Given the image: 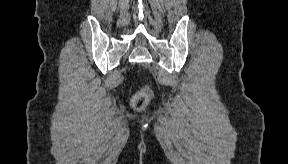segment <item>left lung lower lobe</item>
I'll return each instance as SVG.
<instances>
[{
	"label": "left lung lower lobe",
	"mask_w": 288,
	"mask_h": 164,
	"mask_svg": "<svg viewBox=\"0 0 288 164\" xmlns=\"http://www.w3.org/2000/svg\"><path fill=\"white\" fill-rule=\"evenodd\" d=\"M250 89L247 91V95L255 102L262 98L263 87L266 84V76L262 72H250ZM258 83L259 87L254 85Z\"/></svg>",
	"instance_id": "1"
}]
</instances>
